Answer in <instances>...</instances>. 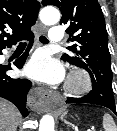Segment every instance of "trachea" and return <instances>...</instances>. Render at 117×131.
I'll return each instance as SVG.
<instances>
[{
    "mask_svg": "<svg viewBox=\"0 0 117 131\" xmlns=\"http://www.w3.org/2000/svg\"><path fill=\"white\" fill-rule=\"evenodd\" d=\"M39 41L42 42V43H48L49 42V40L45 36H40ZM19 46H26V43L20 42Z\"/></svg>",
    "mask_w": 117,
    "mask_h": 131,
    "instance_id": "obj_1",
    "label": "trachea"
}]
</instances>
